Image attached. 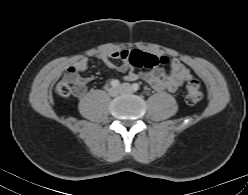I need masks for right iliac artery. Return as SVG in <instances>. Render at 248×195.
<instances>
[{"label": "right iliac artery", "instance_id": "right-iliac-artery-1", "mask_svg": "<svg viewBox=\"0 0 248 195\" xmlns=\"http://www.w3.org/2000/svg\"><path fill=\"white\" fill-rule=\"evenodd\" d=\"M110 84H111V86H113V87H118V86L120 85V81L114 79V80H112V81L110 82Z\"/></svg>", "mask_w": 248, "mask_h": 195}]
</instances>
